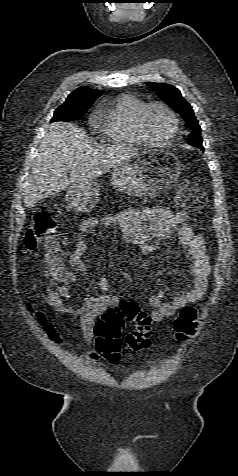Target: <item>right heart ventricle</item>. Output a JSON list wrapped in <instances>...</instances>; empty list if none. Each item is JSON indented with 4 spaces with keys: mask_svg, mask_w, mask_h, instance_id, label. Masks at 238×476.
I'll list each match as a JSON object with an SVG mask.
<instances>
[{
    "mask_svg": "<svg viewBox=\"0 0 238 476\" xmlns=\"http://www.w3.org/2000/svg\"><path fill=\"white\" fill-rule=\"evenodd\" d=\"M145 102L139 97L123 93L114 97L104 108L100 131L104 138L114 144L144 145L146 140L137 128V114Z\"/></svg>",
    "mask_w": 238,
    "mask_h": 476,
    "instance_id": "e07e8e85",
    "label": "right heart ventricle"
}]
</instances>
